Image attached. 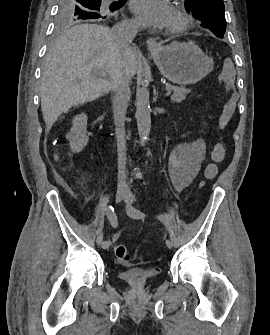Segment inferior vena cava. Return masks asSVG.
Wrapping results in <instances>:
<instances>
[{
	"instance_id": "inferior-vena-cava-1",
	"label": "inferior vena cava",
	"mask_w": 270,
	"mask_h": 335,
	"mask_svg": "<svg viewBox=\"0 0 270 335\" xmlns=\"http://www.w3.org/2000/svg\"><path fill=\"white\" fill-rule=\"evenodd\" d=\"M138 32L137 24L130 22V20H122L120 24H116L112 28V36L116 40L118 46H125L128 48L132 40H134ZM112 78V90L114 92L113 104L114 106H121L125 108L127 104V98L130 94L129 90V78L116 72L111 76ZM116 138H117V150H118V185L123 187L126 183V140H125V126L124 120H120L116 124Z\"/></svg>"
}]
</instances>
